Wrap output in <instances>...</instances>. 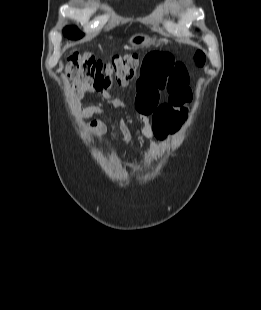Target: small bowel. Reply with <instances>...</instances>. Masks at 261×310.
<instances>
[{
    "instance_id": "small-bowel-1",
    "label": "small bowel",
    "mask_w": 261,
    "mask_h": 310,
    "mask_svg": "<svg viewBox=\"0 0 261 310\" xmlns=\"http://www.w3.org/2000/svg\"><path fill=\"white\" fill-rule=\"evenodd\" d=\"M162 91L168 92L169 98L166 103L159 105ZM75 92L77 95H82L93 92V88L79 86L75 88ZM102 96L109 106L124 108L119 99L111 98L107 92H103ZM191 99L188 73L183 63L176 61L166 52H153L144 58L141 77L137 84L136 106L142 123L141 132L145 137L161 139L168 132L177 130L186 118L187 104ZM97 112L96 107H85L81 110V115L84 118H91ZM88 131L92 136H99L106 131V127L101 121L95 120L90 123ZM120 131L123 141L128 142L130 133L124 121L120 124Z\"/></svg>"
}]
</instances>
